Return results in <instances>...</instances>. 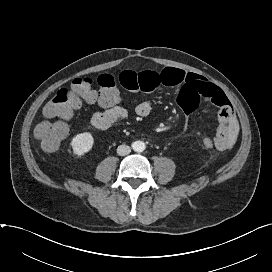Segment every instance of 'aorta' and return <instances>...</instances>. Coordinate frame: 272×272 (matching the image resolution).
<instances>
[{"mask_svg": "<svg viewBox=\"0 0 272 272\" xmlns=\"http://www.w3.org/2000/svg\"><path fill=\"white\" fill-rule=\"evenodd\" d=\"M146 146L143 141H136L133 143V149L136 152H143L145 150Z\"/></svg>", "mask_w": 272, "mask_h": 272, "instance_id": "762f6f07", "label": "aorta"}]
</instances>
